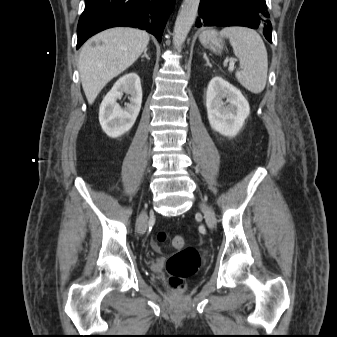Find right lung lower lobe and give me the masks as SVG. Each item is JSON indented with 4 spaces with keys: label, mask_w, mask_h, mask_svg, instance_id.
<instances>
[{
    "label": "right lung lower lobe",
    "mask_w": 337,
    "mask_h": 337,
    "mask_svg": "<svg viewBox=\"0 0 337 337\" xmlns=\"http://www.w3.org/2000/svg\"><path fill=\"white\" fill-rule=\"evenodd\" d=\"M175 0H85L77 27V49L92 35L111 27L145 29L162 40Z\"/></svg>",
    "instance_id": "right-lung-lower-lobe-1"
}]
</instances>
